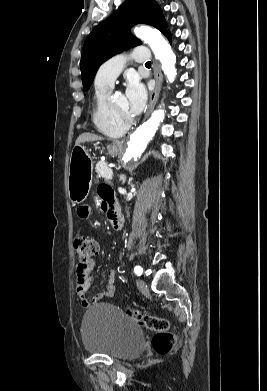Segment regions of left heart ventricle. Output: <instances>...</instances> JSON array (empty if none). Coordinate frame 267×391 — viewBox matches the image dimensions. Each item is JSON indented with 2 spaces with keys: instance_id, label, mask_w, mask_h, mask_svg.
Here are the masks:
<instances>
[{
  "instance_id": "b2bd125f",
  "label": "left heart ventricle",
  "mask_w": 267,
  "mask_h": 391,
  "mask_svg": "<svg viewBox=\"0 0 267 391\" xmlns=\"http://www.w3.org/2000/svg\"><path fill=\"white\" fill-rule=\"evenodd\" d=\"M111 104L115 107V109L118 112H120L124 116L126 117L132 116L128 111L126 98L123 94L116 96V98L111 102Z\"/></svg>"
}]
</instances>
